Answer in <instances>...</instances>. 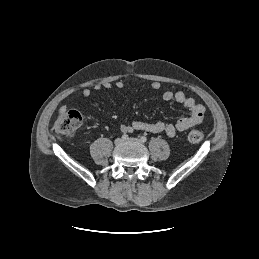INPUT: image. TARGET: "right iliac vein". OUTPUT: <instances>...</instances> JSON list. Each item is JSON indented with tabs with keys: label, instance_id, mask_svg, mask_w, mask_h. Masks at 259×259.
Returning <instances> with one entry per match:
<instances>
[{
	"label": "right iliac vein",
	"instance_id": "1",
	"mask_svg": "<svg viewBox=\"0 0 259 259\" xmlns=\"http://www.w3.org/2000/svg\"><path fill=\"white\" fill-rule=\"evenodd\" d=\"M114 143H115L116 146H119V145H121V144L123 143V139L117 138V139L114 141Z\"/></svg>",
	"mask_w": 259,
	"mask_h": 259
}]
</instances>
